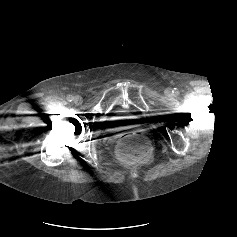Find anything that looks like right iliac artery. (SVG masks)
<instances>
[{
	"label": "right iliac artery",
	"mask_w": 237,
	"mask_h": 237,
	"mask_svg": "<svg viewBox=\"0 0 237 237\" xmlns=\"http://www.w3.org/2000/svg\"><path fill=\"white\" fill-rule=\"evenodd\" d=\"M66 99L67 101L71 102L73 100V97L71 95H68Z\"/></svg>",
	"instance_id": "right-iliac-artery-1"
}]
</instances>
